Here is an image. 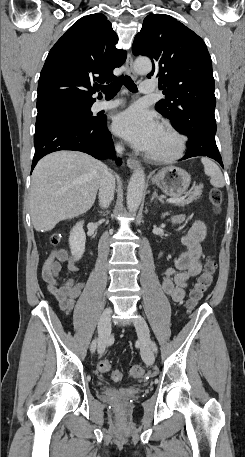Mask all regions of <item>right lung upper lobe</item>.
I'll return each instance as SVG.
<instances>
[{
  "mask_svg": "<svg viewBox=\"0 0 245 457\" xmlns=\"http://www.w3.org/2000/svg\"><path fill=\"white\" fill-rule=\"evenodd\" d=\"M103 14L82 17L50 50L38 83V112L76 100H90L97 87L116 78L113 69L126 60L127 52Z\"/></svg>",
  "mask_w": 245,
  "mask_h": 457,
  "instance_id": "obj_1",
  "label": "right lung upper lobe"
}]
</instances>
